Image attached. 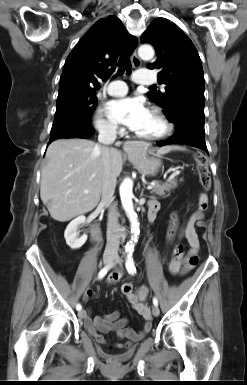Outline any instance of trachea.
Listing matches in <instances>:
<instances>
[{
    "mask_svg": "<svg viewBox=\"0 0 247 385\" xmlns=\"http://www.w3.org/2000/svg\"><path fill=\"white\" fill-rule=\"evenodd\" d=\"M126 71L127 74L132 72V66L129 60H124L118 69V74L122 75Z\"/></svg>",
    "mask_w": 247,
    "mask_h": 385,
    "instance_id": "3493384b",
    "label": "trachea"
}]
</instances>
